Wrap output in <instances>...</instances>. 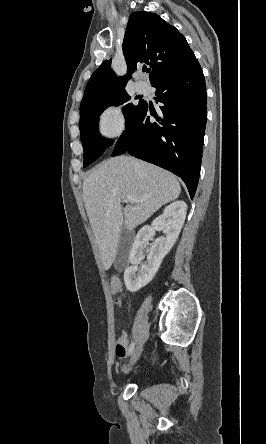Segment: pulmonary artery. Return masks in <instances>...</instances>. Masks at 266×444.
Here are the masks:
<instances>
[{"label":"pulmonary artery","instance_id":"e3ab8cb5","mask_svg":"<svg viewBox=\"0 0 266 444\" xmlns=\"http://www.w3.org/2000/svg\"><path fill=\"white\" fill-rule=\"evenodd\" d=\"M135 89L137 92L142 93L146 90V85L143 82H136Z\"/></svg>","mask_w":266,"mask_h":444}]
</instances>
